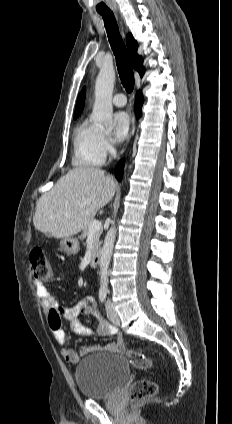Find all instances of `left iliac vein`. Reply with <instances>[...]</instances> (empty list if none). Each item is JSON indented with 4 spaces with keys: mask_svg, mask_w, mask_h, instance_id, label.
<instances>
[{
    "mask_svg": "<svg viewBox=\"0 0 232 424\" xmlns=\"http://www.w3.org/2000/svg\"><path fill=\"white\" fill-rule=\"evenodd\" d=\"M106 312H107V317L109 318L111 322H113L114 324L119 323V316L110 301H107L106 303Z\"/></svg>",
    "mask_w": 232,
    "mask_h": 424,
    "instance_id": "left-iliac-vein-1",
    "label": "left iliac vein"
}]
</instances>
